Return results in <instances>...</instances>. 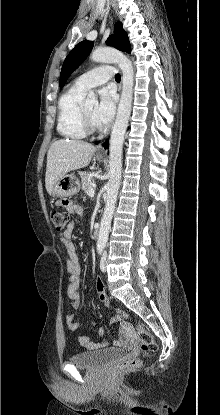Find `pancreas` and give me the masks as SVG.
<instances>
[{"label":"pancreas","mask_w":220,"mask_h":415,"mask_svg":"<svg viewBox=\"0 0 220 415\" xmlns=\"http://www.w3.org/2000/svg\"><path fill=\"white\" fill-rule=\"evenodd\" d=\"M79 175L82 180V189L86 194L89 193V190L95 186V179L93 172H79Z\"/></svg>","instance_id":"cf45deb5"}]
</instances>
